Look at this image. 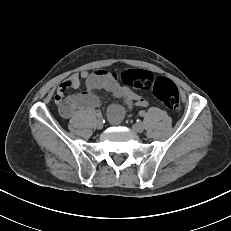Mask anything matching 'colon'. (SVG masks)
<instances>
[{"label": "colon", "instance_id": "obj_1", "mask_svg": "<svg viewBox=\"0 0 231 231\" xmlns=\"http://www.w3.org/2000/svg\"><path fill=\"white\" fill-rule=\"evenodd\" d=\"M121 82L139 90H149L168 109L180 108V96L176 85L167 78L155 77L151 72L132 69L120 75Z\"/></svg>", "mask_w": 231, "mask_h": 231}]
</instances>
